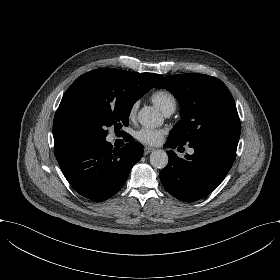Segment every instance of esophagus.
<instances>
[{"mask_svg":"<svg viewBox=\"0 0 280 280\" xmlns=\"http://www.w3.org/2000/svg\"><path fill=\"white\" fill-rule=\"evenodd\" d=\"M154 150H155V149L152 148V147H145V148H144V155H147V154L153 152Z\"/></svg>","mask_w":280,"mask_h":280,"instance_id":"esophagus-1","label":"esophagus"}]
</instances>
